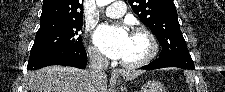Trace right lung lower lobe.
<instances>
[{
  "label": "right lung lower lobe",
  "instance_id": "right-lung-lower-lobe-1",
  "mask_svg": "<svg viewBox=\"0 0 225 92\" xmlns=\"http://www.w3.org/2000/svg\"><path fill=\"white\" fill-rule=\"evenodd\" d=\"M86 64L87 54L84 46H80L30 54L27 69H40L50 65L73 66L84 69Z\"/></svg>",
  "mask_w": 225,
  "mask_h": 92
}]
</instances>
